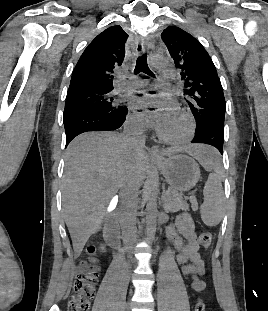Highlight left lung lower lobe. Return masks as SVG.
Returning <instances> with one entry per match:
<instances>
[{"label": "left lung lower lobe", "mask_w": 268, "mask_h": 311, "mask_svg": "<svg viewBox=\"0 0 268 311\" xmlns=\"http://www.w3.org/2000/svg\"><path fill=\"white\" fill-rule=\"evenodd\" d=\"M214 116L216 124L202 123L197 125L192 142L199 141L200 143L211 144V146L217 148L223 154L225 112H217Z\"/></svg>", "instance_id": "0a47b994"}]
</instances>
